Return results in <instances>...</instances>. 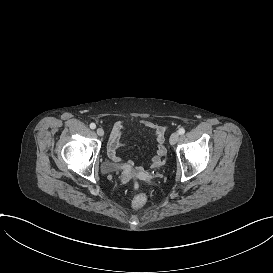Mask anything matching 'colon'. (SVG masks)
<instances>
[{
	"label": "colon",
	"instance_id": "obj_1",
	"mask_svg": "<svg viewBox=\"0 0 273 273\" xmlns=\"http://www.w3.org/2000/svg\"><path fill=\"white\" fill-rule=\"evenodd\" d=\"M149 200V194L145 190H140L134 195V201L131 203V210L138 212L140 208L146 205Z\"/></svg>",
	"mask_w": 273,
	"mask_h": 273
}]
</instances>
